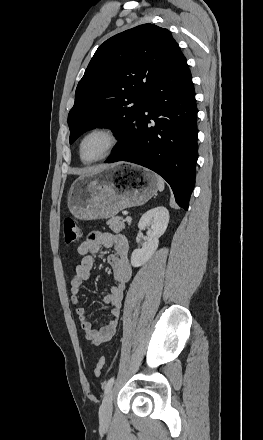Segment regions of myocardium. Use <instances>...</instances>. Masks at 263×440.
<instances>
[{"label": "myocardium", "mask_w": 263, "mask_h": 440, "mask_svg": "<svg viewBox=\"0 0 263 440\" xmlns=\"http://www.w3.org/2000/svg\"><path fill=\"white\" fill-rule=\"evenodd\" d=\"M94 133H102V134L106 135L109 140V145H108L106 151L101 156L94 158V159L87 160V159H84L82 156V145H83L85 139ZM119 141H120V137H119L118 133L111 126H108V125L92 126L88 130H86L78 140V144H77L78 157L85 164H93V163L100 162V161L108 158L116 150V148L119 145Z\"/></svg>", "instance_id": "myocardium-1"}]
</instances>
